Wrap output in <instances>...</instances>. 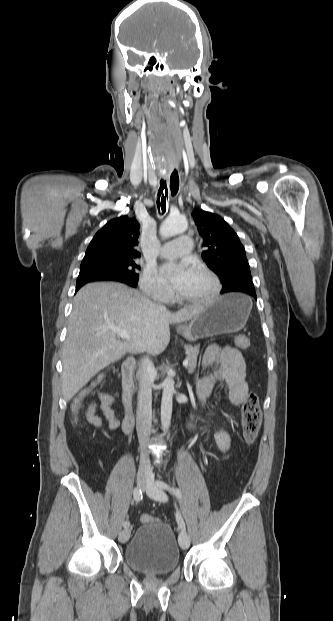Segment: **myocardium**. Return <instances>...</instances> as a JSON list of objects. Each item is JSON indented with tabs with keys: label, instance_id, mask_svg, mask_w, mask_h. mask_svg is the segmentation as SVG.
I'll list each match as a JSON object with an SVG mask.
<instances>
[{
	"label": "myocardium",
	"instance_id": "1",
	"mask_svg": "<svg viewBox=\"0 0 333 621\" xmlns=\"http://www.w3.org/2000/svg\"><path fill=\"white\" fill-rule=\"evenodd\" d=\"M193 270L206 275L211 280L213 284L212 291L209 294L201 297H183L178 294L176 296L177 300L187 304H206L212 302L219 296L221 292V282L219 277L213 270H211L208 266L202 263L195 264L193 266Z\"/></svg>",
	"mask_w": 333,
	"mask_h": 621
}]
</instances>
